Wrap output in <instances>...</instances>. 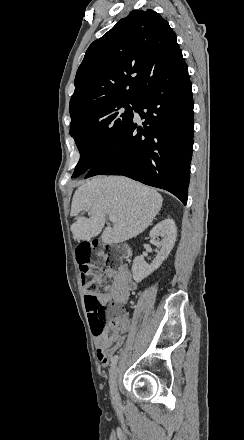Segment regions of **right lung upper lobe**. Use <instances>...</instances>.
Returning a JSON list of instances; mask_svg holds the SVG:
<instances>
[{"mask_svg": "<svg viewBox=\"0 0 244 440\" xmlns=\"http://www.w3.org/2000/svg\"><path fill=\"white\" fill-rule=\"evenodd\" d=\"M176 34L157 12L134 10L86 51L69 111L108 98H136L158 72L184 64Z\"/></svg>", "mask_w": 244, "mask_h": 440, "instance_id": "1", "label": "right lung upper lobe"}]
</instances>
